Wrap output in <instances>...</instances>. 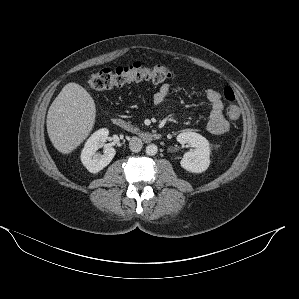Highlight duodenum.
<instances>
[{
    "label": "duodenum",
    "mask_w": 299,
    "mask_h": 299,
    "mask_svg": "<svg viewBox=\"0 0 299 299\" xmlns=\"http://www.w3.org/2000/svg\"><path fill=\"white\" fill-rule=\"evenodd\" d=\"M112 124L121 129H125L128 131H135L134 128L127 121H125L120 117H114L112 119ZM137 135L146 142L158 141L161 139V135L159 133H150V132L141 131L138 132Z\"/></svg>",
    "instance_id": "obj_1"
}]
</instances>
